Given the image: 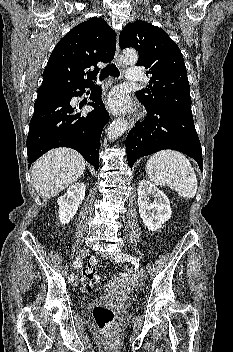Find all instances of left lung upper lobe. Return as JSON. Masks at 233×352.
Listing matches in <instances>:
<instances>
[{"mask_svg":"<svg viewBox=\"0 0 233 352\" xmlns=\"http://www.w3.org/2000/svg\"><path fill=\"white\" fill-rule=\"evenodd\" d=\"M122 49L138 51L137 66L152 75L148 88L136 92L145 107L164 106L192 116L190 86L183 56L179 47L161 28L145 21L126 25L121 31Z\"/></svg>","mask_w":233,"mask_h":352,"instance_id":"5c2ea615","label":"left lung upper lobe"}]
</instances>
